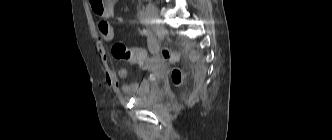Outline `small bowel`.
I'll return each instance as SVG.
<instances>
[{
  "mask_svg": "<svg viewBox=\"0 0 332 140\" xmlns=\"http://www.w3.org/2000/svg\"><path fill=\"white\" fill-rule=\"evenodd\" d=\"M118 0H111L110 4L107 6L105 11L103 12V17L105 18H111L114 14L113 5ZM105 41H112L114 39V34L107 37H102ZM143 52V57L137 62L142 67H146L148 62V55L149 52L154 53L157 50V44L155 41L150 40L149 41V50L146 49H139ZM102 61V67L105 74V80L107 85L114 91H117L119 88H121V91L126 95H142L145 94L149 88L150 83L148 79H143L142 82H133V83H125L122 86L119 84V80H124L128 77V71L125 68H121L118 70L117 77L114 75L112 70L110 69L106 59H101Z\"/></svg>",
  "mask_w": 332,
  "mask_h": 140,
  "instance_id": "1",
  "label": "small bowel"
}]
</instances>
